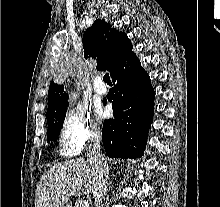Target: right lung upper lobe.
<instances>
[{
    "label": "right lung upper lobe",
    "mask_w": 220,
    "mask_h": 207,
    "mask_svg": "<svg viewBox=\"0 0 220 207\" xmlns=\"http://www.w3.org/2000/svg\"><path fill=\"white\" fill-rule=\"evenodd\" d=\"M84 57L97 60L98 70L113 73L115 66L132 53V44L125 32L112 28L104 20H96L83 35ZM64 86L50 83L48 92L47 118L58 112L67 102Z\"/></svg>",
    "instance_id": "right-lung-upper-lobe-1"
}]
</instances>
